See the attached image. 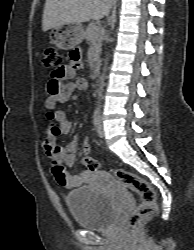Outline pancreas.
I'll return each instance as SVG.
<instances>
[{
  "mask_svg": "<svg viewBox=\"0 0 194 250\" xmlns=\"http://www.w3.org/2000/svg\"><path fill=\"white\" fill-rule=\"evenodd\" d=\"M103 37L104 30L93 23H90L84 32V38L92 44L94 60H97L99 57Z\"/></svg>",
  "mask_w": 194,
  "mask_h": 250,
  "instance_id": "cf45deb5",
  "label": "pancreas"
}]
</instances>
